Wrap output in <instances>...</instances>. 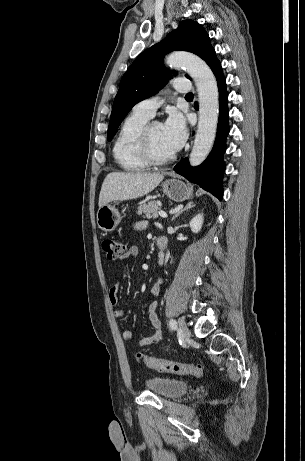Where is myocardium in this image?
Returning a JSON list of instances; mask_svg holds the SVG:
<instances>
[{
	"label": "myocardium",
	"instance_id": "f54148a6",
	"mask_svg": "<svg viewBox=\"0 0 305 461\" xmlns=\"http://www.w3.org/2000/svg\"><path fill=\"white\" fill-rule=\"evenodd\" d=\"M161 123L156 120L148 121L141 129L138 139L137 147L138 151L143 160L150 165H163L173 161L176 158V154H172L165 157H157L151 147V131L154 126L160 125Z\"/></svg>",
	"mask_w": 305,
	"mask_h": 461
}]
</instances>
